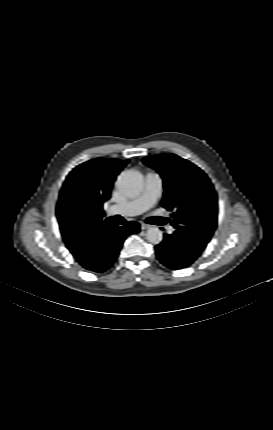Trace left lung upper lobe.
Here are the masks:
<instances>
[{
    "mask_svg": "<svg viewBox=\"0 0 273 430\" xmlns=\"http://www.w3.org/2000/svg\"><path fill=\"white\" fill-rule=\"evenodd\" d=\"M143 163L162 177V205L171 211V224L201 250L217 226V194L207 175L190 161L174 154L143 158Z\"/></svg>",
    "mask_w": 273,
    "mask_h": 430,
    "instance_id": "5c2ea615",
    "label": "left lung upper lobe"
}]
</instances>
